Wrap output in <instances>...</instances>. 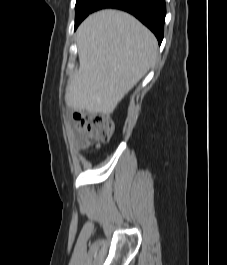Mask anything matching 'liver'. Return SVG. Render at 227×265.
I'll return each mask as SVG.
<instances>
[{"instance_id":"6515ba94","label":"liver","mask_w":227,"mask_h":265,"mask_svg":"<svg viewBox=\"0 0 227 265\" xmlns=\"http://www.w3.org/2000/svg\"><path fill=\"white\" fill-rule=\"evenodd\" d=\"M79 70L65 102L73 109L110 114L157 58L151 31L128 13L107 9L88 16L77 30Z\"/></svg>"}]
</instances>
